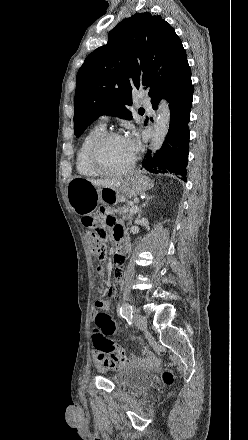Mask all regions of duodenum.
I'll list each match as a JSON object with an SVG mask.
<instances>
[{"label":"duodenum","instance_id":"1","mask_svg":"<svg viewBox=\"0 0 248 440\" xmlns=\"http://www.w3.org/2000/svg\"><path fill=\"white\" fill-rule=\"evenodd\" d=\"M126 249V245L123 242L119 243L117 246V255L122 257L126 253Z\"/></svg>","mask_w":248,"mask_h":440}]
</instances>
